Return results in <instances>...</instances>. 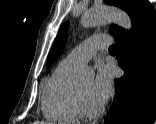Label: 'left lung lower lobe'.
<instances>
[{
	"instance_id": "1",
	"label": "left lung lower lobe",
	"mask_w": 156,
	"mask_h": 124,
	"mask_svg": "<svg viewBox=\"0 0 156 124\" xmlns=\"http://www.w3.org/2000/svg\"><path fill=\"white\" fill-rule=\"evenodd\" d=\"M117 61L124 76L115 81V97L106 124H152L156 118V11L145 0L132 30L115 36Z\"/></svg>"
}]
</instances>
